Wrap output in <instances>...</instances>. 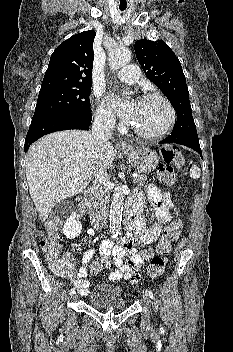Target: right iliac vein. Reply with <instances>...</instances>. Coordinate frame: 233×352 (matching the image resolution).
Returning a JSON list of instances; mask_svg holds the SVG:
<instances>
[{
	"label": "right iliac vein",
	"mask_w": 233,
	"mask_h": 352,
	"mask_svg": "<svg viewBox=\"0 0 233 352\" xmlns=\"http://www.w3.org/2000/svg\"><path fill=\"white\" fill-rule=\"evenodd\" d=\"M77 298V295L74 293L72 294V299L75 300Z\"/></svg>",
	"instance_id": "1"
}]
</instances>
